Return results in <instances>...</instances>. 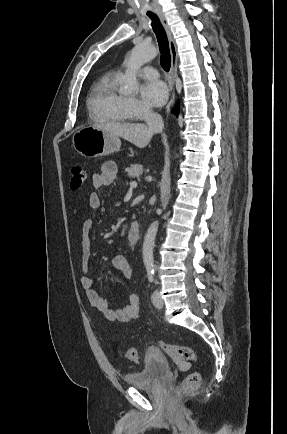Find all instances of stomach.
Returning a JSON list of instances; mask_svg holds the SVG:
<instances>
[{"label":"stomach","mask_w":287,"mask_h":434,"mask_svg":"<svg viewBox=\"0 0 287 434\" xmlns=\"http://www.w3.org/2000/svg\"><path fill=\"white\" fill-rule=\"evenodd\" d=\"M74 149L84 157L96 158L119 151L120 138L104 129L86 126L73 135Z\"/></svg>","instance_id":"stomach-1"}]
</instances>
